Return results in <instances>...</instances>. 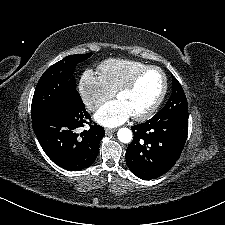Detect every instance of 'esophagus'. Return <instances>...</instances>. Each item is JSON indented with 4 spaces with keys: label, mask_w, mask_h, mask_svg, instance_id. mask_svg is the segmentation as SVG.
Masks as SVG:
<instances>
[{
    "label": "esophagus",
    "mask_w": 225,
    "mask_h": 225,
    "mask_svg": "<svg viewBox=\"0 0 225 225\" xmlns=\"http://www.w3.org/2000/svg\"><path fill=\"white\" fill-rule=\"evenodd\" d=\"M116 131H117L116 128H113V129L107 128V129L105 130V133H106V135H108V134L114 133V132H116Z\"/></svg>",
    "instance_id": "1"
}]
</instances>
